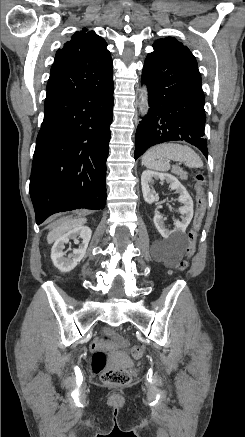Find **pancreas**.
Masks as SVG:
<instances>
[{"instance_id":"obj_1","label":"pancreas","mask_w":245,"mask_h":437,"mask_svg":"<svg viewBox=\"0 0 245 437\" xmlns=\"http://www.w3.org/2000/svg\"><path fill=\"white\" fill-rule=\"evenodd\" d=\"M173 172H174L175 174H177V175L180 177V179H182V180H187L186 172H184V171L181 170L180 168H174V169H173Z\"/></svg>"}]
</instances>
